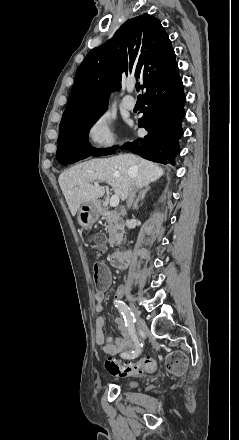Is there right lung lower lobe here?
I'll return each mask as SVG.
<instances>
[{
    "label": "right lung lower lobe",
    "mask_w": 239,
    "mask_h": 440,
    "mask_svg": "<svg viewBox=\"0 0 239 440\" xmlns=\"http://www.w3.org/2000/svg\"><path fill=\"white\" fill-rule=\"evenodd\" d=\"M145 88L142 101L148 107L142 110L144 114L139 127L145 128L148 134L134 142H126L120 148L151 161L174 164V157L179 153L178 139L183 135L181 121L185 117L183 107L186 102L177 63ZM117 148L95 149L90 144H80L62 148L56 157L61 164L67 165L89 156L112 154Z\"/></svg>",
    "instance_id": "1"
}]
</instances>
